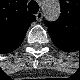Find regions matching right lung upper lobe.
<instances>
[{
	"mask_svg": "<svg viewBox=\"0 0 80 80\" xmlns=\"http://www.w3.org/2000/svg\"><path fill=\"white\" fill-rule=\"evenodd\" d=\"M35 19L26 10V1L11 0L0 12V46L9 50L16 49Z\"/></svg>",
	"mask_w": 80,
	"mask_h": 80,
	"instance_id": "cb5924a9",
	"label": "right lung upper lobe"
}]
</instances>
